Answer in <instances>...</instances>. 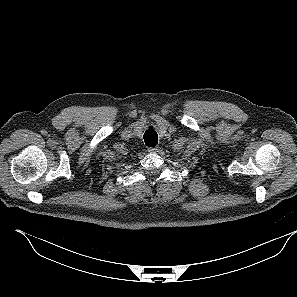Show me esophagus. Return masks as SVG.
<instances>
[{"mask_svg": "<svg viewBox=\"0 0 297 297\" xmlns=\"http://www.w3.org/2000/svg\"><path fill=\"white\" fill-rule=\"evenodd\" d=\"M160 148L159 147H150L148 148V152L150 153H157L159 152Z\"/></svg>", "mask_w": 297, "mask_h": 297, "instance_id": "obj_1", "label": "esophagus"}]
</instances>
